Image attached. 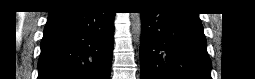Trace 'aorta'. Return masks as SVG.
Listing matches in <instances>:
<instances>
[{"mask_svg": "<svg viewBox=\"0 0 255 79\" xmlns=\"http://www.w3.org/2000/svg\"><path fill=\"white\" fill-rule=\"evenodd\" d=\"M131 27L136 42H140L142 34V18L140 13H131Z\"/></svg>", "mask_w": 255, "mask_h": 79, "instance_id": "aorta-1", "label": "aorta"}]
</instances>
